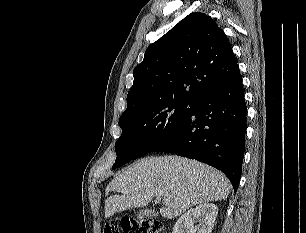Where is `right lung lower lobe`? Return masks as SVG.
Returning <instances> with one entry per match:
<instances>
[{
	"mask_svg": "<svg viewBox=\"0 0 306 233\" xmlns=\"http://www.w3.org/2000/svg\"><path fill=\"white\" fill-rule=\"evenodd\" d=\"M247 107L241 74L196 104L168 139L153 151L175 153L226 174L237 191L245 150Z\"/></svg>",
	"mask_w": 306,
	"mask_h": 233,
	"instance_id": "1",
	"label": "right lung lower lobe"
}]
</instances>
